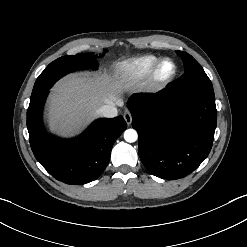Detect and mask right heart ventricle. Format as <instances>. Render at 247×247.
<instances>
[{
    "label": "right heart ventricle",
    "mask_w": 247,
    "mask_h": 247,
    "mask_svg": "<svg viewBox=\"0 0 247 247\" xmlns=\"http://www.w3.org/2000/svg\"><path fill=\"white\" fill-rule=\"evenodd\" d=\"M160 59L154 55H144L124 60L115 66V72L123 85L133 86L148 78Z\"/></svg>",
    "instance_id": "1"
}]
</instances>
